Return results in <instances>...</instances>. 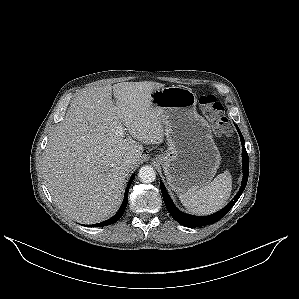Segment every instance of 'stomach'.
<instances>
[{
  "mask_svg": "<svg viewBox=\"0 0 299 299\" xmlns=\"http://www.w3.org/2000/svg\"><path fill=\"white\" fill-rule=\"evenodd\" d=\"M164 125L168 148L157 155L172 190L181 194L208 185L221 162L208 122L196 112V95L182 86L151 93Z\"/></svg>",
  "mask_w": 299,
  "mask_h": 299,
  "instance_id": "0dacf381",
  "label": "stomach"
}]
</instances>
